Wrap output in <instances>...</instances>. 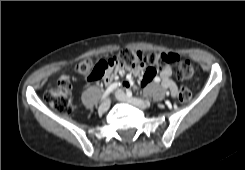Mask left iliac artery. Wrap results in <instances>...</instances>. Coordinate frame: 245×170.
I'll list each match as a JSON object with an SVG mask.
<instances>
[{
    "mask_svg": "<svg viewBox=\"0 0 245 170\" xmlns=\"http://www.w3.org/2000/svg\"><path fill=\"white\" fill-rule=\"evenodd\" d=\"M126 94H127L128 97H131L132 96V92L130 90H127V93Z\"/></svg>",
    "mask_w": 245,
    "mask_h": 170,
    "instance_id": "1",
    "label": "left iliac artery"
}]
</instances>
